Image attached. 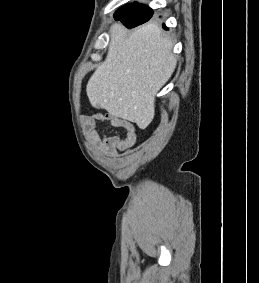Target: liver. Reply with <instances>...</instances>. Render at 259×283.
Returning a JSON list of instances; mask_svg holds the SVG:
<instances>
[{
	"instance_id": "obj_1",
	"label": "liver",
	"mask_w": 259,
	"mask_h": 283,
	"mask_svg": "<svg viewBox=\"0 0 259 283\" xmlns=\"http://www.w3.org/2000/svg\"><path fill=\"white\" fill-rule=\"evenodd\" d=\"M172 47L157 24L131 33L113 24L107 57L87 83L91 105L147 128L154 118L155 96L176 68Z\"/></svg>"
}]
</instances>
